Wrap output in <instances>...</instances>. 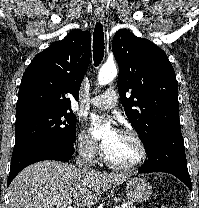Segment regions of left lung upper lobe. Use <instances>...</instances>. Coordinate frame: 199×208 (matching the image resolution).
Instances as JSON below:
<instances>
[{"mask_svg":"<svg viewBox=\"0 0 199 208\" xmlns=\"http://www.w3.org/2000/svg\"><path fill=\"white\" fill-rule=\"evenodd\" d=\"M112 51L119 65L117 85L125 114L147 150L159 134L180 128L173 66L161 48L125 29L115 33Z\"/></svg>","mask_w":199,"mask_h":208,"instance_id":"left-lung-upper-lobe-1","label":"left lung upper lobe"}]
</instances>
